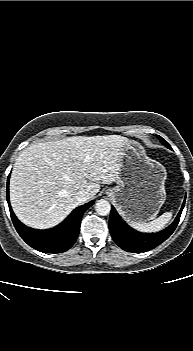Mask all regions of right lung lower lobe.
I'll return each instance as SVG.
<instances>
[{
	"mask_svg": "<svg viewBox=\"0 0 193 351\" xmlns=\"http://www.w3.org/2000/svg\"><path fill=\"white\" fill-rule=\"evenodd\" d=\"M7 201L11 219L21 238L32 248L44 253H61L70 249L79 235L83 213L94 203L79 206L59 226L52 230H35L22 224L12 211L9 201V177L7 182Z\"/></svg>",
	"mask_w": 193,
	"mask_h": 351,
	"instance_id": "98d812e1",
	"label": "right lung lower lobe"
}]
</instances>
